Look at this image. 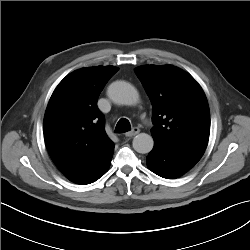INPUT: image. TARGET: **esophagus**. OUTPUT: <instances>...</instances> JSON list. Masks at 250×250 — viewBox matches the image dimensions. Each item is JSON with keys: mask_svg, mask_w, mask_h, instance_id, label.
<instances>
[{"mask_svg": "<svg viewBox=\"0 0 250 250\" xmlns=\"http://www.w3.org/2000/svg\"><path fill=\"white\" fill-rule=\"evenodd\" d=\"M140 132V129L138 127H134L131 131L127 132L125 135L127 137H133L137 135Z\"/></svg>", "mask_w": 250, "mask_h": 250, "instance_id": "1", "label": "esophagus"}]
</instances>
